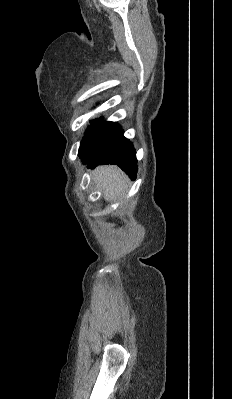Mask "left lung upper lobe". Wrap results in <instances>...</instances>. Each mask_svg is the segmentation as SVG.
Listing matches in <instances>:
<instances>
[{"mask_svg": "<svg viewBox=\"0 0 232 399\" xmlns=\"http://www.w3.org/2000/svg\"><path fill=\"white\" fill-rule=\"evenodd\" d=\"M117 123L103 121L102 118L91 121V127L85 132L79 147L78 155L81 157L86 153L101 147L119 129Z\"/></svg>", "mask_w": 232, "mask_h": 399, "instance_id": "left-lung-upper-lobe-1", "label": "left lung upper lobe"}]
</instances>
